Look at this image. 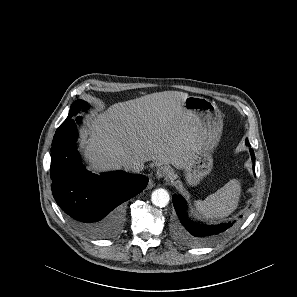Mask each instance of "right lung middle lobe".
<instances>
[{
	"label": "right lung middle lobe",
	"mask_w": 297,
	"mask_h": 297,
	"mask_svg": "<svg viewBox=\"0 0 297 297\" xmlns=\"http://www.w3.org/2000/svg\"><path fill=\"white\" fill-rule=\"evenodd\" d=\"M88 104L83 101V100H76L75 102H73V104L70 107V111H69V115L66 118V120L70 119V118H77L78 114L83 111V110H87ZM65 120V121H66Z\"/></svg>",
	"instance_id": "1"
}]
</instances>
